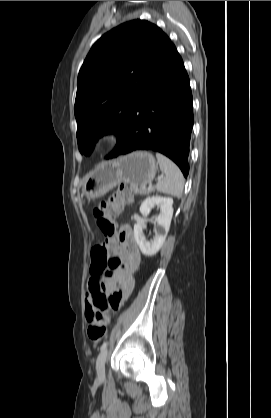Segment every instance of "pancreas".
I'll use <instances>...</instances> for the list:
<instances>
[{"label": "pancreas", "instance_id": "obj_1", "mask_svg": "<svg viewBox=\"0 0 271 418\" xmlns=\"http://www.w3.org/2000/svg\"><path fill=\"white\" fill-rule=\"evenodd\" d=\"M130 190L131 192H133L134 194H139V195H147L150 192H152L154 189H146L144 186H138L136 184H131L130 185Z\"/></svg>", "mask_w": 271, "mask_h": 418}]
</instances>
